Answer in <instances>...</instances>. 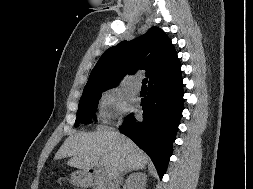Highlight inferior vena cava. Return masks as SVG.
Listing matches in <instances>:
<instances>
[{
  "label": "inferior vena cava",
  "mask_w": 253,
  "mask_h": 189,
  "mask_svg": "<svg viewBox=\"0 0 253 189\" xmlns=\"http://www.w3.org/2000/svg\"><path fill=\"white\" fill-rule=\"evenodd\" d=\"M122 179V172L119 171L108 180V189H119V182Z\"/></svg>",
  "instance_id": "1"
}]
</instances>
